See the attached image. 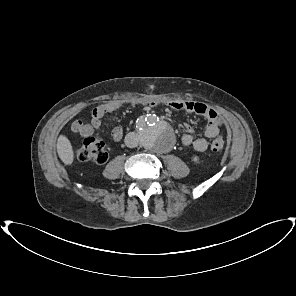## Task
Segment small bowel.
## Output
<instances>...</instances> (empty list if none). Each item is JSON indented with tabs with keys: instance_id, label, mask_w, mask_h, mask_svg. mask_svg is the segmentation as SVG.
I'll use <instances>...</instances> for the list:
<instances>
[{
	"instance_id": "small-bowel-1",
	"label": "small bowel",
	"mask_w": 296,
	"mask_h": 296,
	"mask_svg": "<svg viewBox=\"0 0 296 296\" xmlns=\"http://www.w3.org/2000/svg\"><path fill=\"white\" fill-rule=\"evenodd\" d=\"M164 104L176 110H184L197 113L206 118L207 123L204 129L203 137L194 138L192 129L189 125H185V133L181 136V143L185 147H192L198 152L207 150L209 139L216 137L220 132L223 123L222 118L209 105L199 102L179 100V99H162L158 102H152L150 105ZM118 101H109L103 103L92 110L91 120L89 123L83 120H75L71 124V131L82 137H89L94 133L95 129H99L105 116L112 114L121 107ZM110 136L114 141H119L123 137V129L115 126L110 130Z\"/></svg>"
}]
</instances>
